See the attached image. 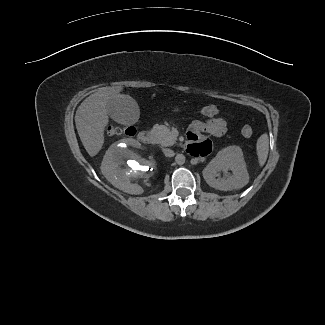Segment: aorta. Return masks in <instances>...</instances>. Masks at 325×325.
Segmentation results:
<instances>
[{
    "instance_id": "aorta-1",
    "label": "aorta",
    "mask_w": 325,
    "mask_h": 325,
    "mask_svg": "<svg viewBox=\"0 0 325 325\" xmlns=\"http://www.w3.org/2000/svg\"><path fill=\"white\" fill-rule=\"evenodd\" d=\"M175 161L179 165H183L185 163V156L183 154H177L175 157Z\"/></svg>"
}]
</instances>
